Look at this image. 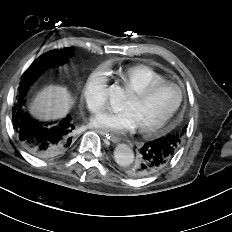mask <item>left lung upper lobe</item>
<instances>
[{"mask_svg":"<svg viewBox=\"0 0 232 232\" xmlns=\"http://www.w3.org/2000/svg\"><path fill=\"white\" fill-rule=\"evenodd\" d=\"M185 130V128L183 129V131ZM182 132H172L170 134H167L159 139H161L162 141H164L165 143H167L168 145H170L172 147V149L176 152L177 149L180 146L181 143V138H182ZM132 166H128L127 168H125V172L127 175L129 176H133L132 173H129L130 168ZM135 178V177H134Z\"/></svg>","mask_w":232,"mask_h":232,"instance_id":"5c2ea615","label":"left lung upper lobe"}]
</instances>
